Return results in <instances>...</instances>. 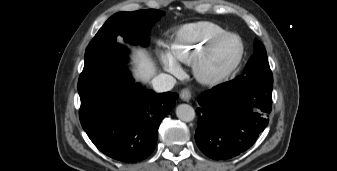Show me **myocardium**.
Here are the masks:
<instances>
[{"label":"myocardium","mask_w":337,"mask_h":171,"mask_svg":"<svg viewBox=\"0 0 337 171\" xmlns=\"http://www.w3.org/2000/svg\"><path fill=\"white\" fill-rule=\"evenodd\" d=\"M236 39L239 45V53L235 61L222 73L220 74H211L206 70V63L210 56V54L214 51V49L221 44L222 42L228 39ZM245 55V46L242 38L232 32H227L223 35L217 36L211 39L197 54L194 60L191 63L192 72L195 79L204 85L208 86H218L225 82H227L235 71L241 65Z\"/></svg>","instance_id":"obj_1"}]
</instances>
